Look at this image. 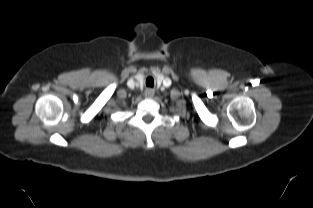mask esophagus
I'll return each mask as SVG.
<instances>
[{
    "mask_svg": "<svg viewBox=\"0 0 313 208\" xmlns=\"http://www.w3.org/2000/svg\"><path fill=\"white\" fill-rule=\"evenodd\" d=\"M144 96L146 98H152L154 96V90L151 88L146 89L144 92Z\"/></svg>",
    "mask_w": 313,
    "mask_h": 208,
    "instance_id": "1",
    "label": "esophagus"
}]
</instances>
